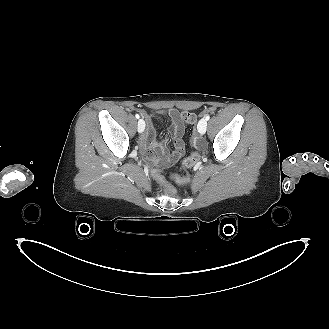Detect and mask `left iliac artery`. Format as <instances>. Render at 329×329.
<instances>
[{"label":"left iliac artery","mask_w":329,"mask_h":329,"mask_svg":"<svg viewBox=\"0 0 329 329\" xmlns=\"http://www.w3.org/2000/svg\"><path fill=\"white\" fill-rule=\"evenodd\" d=\"M209 119H210V115H207V116L205 117V120L208 121Z\"/></svg>","instance_id":"obj_1"}]
</instances>
